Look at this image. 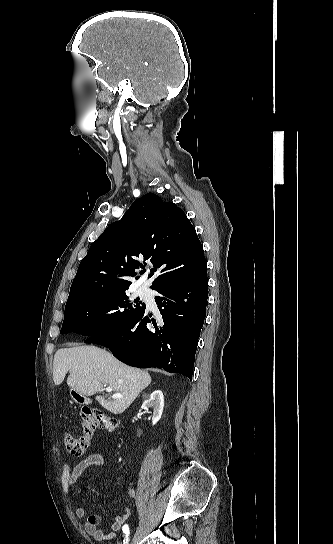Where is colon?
I'll return each instance as SVG.
<instances>
[{
  "label": "colon",
  "instance_id": "1",
  "mask_svg": "<svg viewBox=\"0 0 333 544\" xmlns=\"http://www.w3.org/2000/svg\"><path fill=\"white\" fill-rule=\"evenodd\" d=\"M80 427V434L66 433L64 436L65 448L74 456L85 453L95 429L112 431L116 428V422L98 410L84 408L81 412Z\"/></svg>",
  "mask_w": 333,
  "mask_h": 544
}]
</instances>
